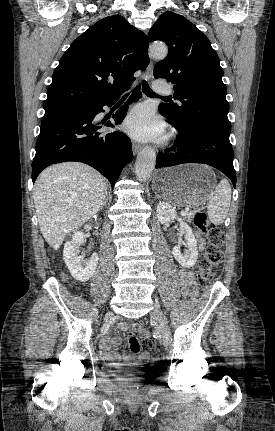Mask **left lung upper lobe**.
I'll return each instance as SVG.
<instances>
[{
  "instance_id": "5c2ea615",
  "label": "left lung upper lobe",
  "mask_w": 275,
  "mask_h": 431,
  "mask_svg": "<svg viewBox=\"0 0 275 431\" xmlns=\"http://www.w3.org/2000/svg\"><path fill=\"white\" fill-rule=\"evenodd\" d=\"M150 42L168 45V55L153 70L155 78L173 84L177 103H162L159 112L181 129L231 131L223 69L209 39L185 17L163 13L149 31Z\"/></svg>"
}]
</instances>
